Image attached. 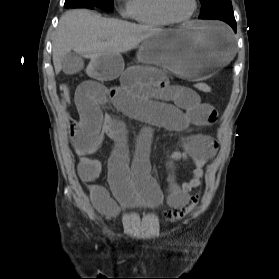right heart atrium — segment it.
<instances>
[{
  "label": "right heart atrium",
  "instance_id": "right-heart-atrium-1",
  "mask_svg": "<svg viewBox=\"0 0 279 279\" xmlns=\"http://www.w3.org/2000/svg\"><path fill=\"white\" fill-rule=\"evenodd\" d=\"M117 7L124 17H132L133 14V0H116Z\"/></svg>",
  "mask_w": 279,
  "mask_h": 279
}]
</instances>
